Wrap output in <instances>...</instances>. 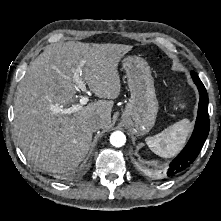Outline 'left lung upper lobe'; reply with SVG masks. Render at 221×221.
I'll return each mask as SVG.
<instances>
[{
	"mask_svg": "<svg viewBox=\"0 0 221 221\" xmlns=\"http://www.w3.org/2000/svg\"><path fill=\"white\" fill-rule=\"evenodd\" d=\"M191 76H192L193 80H200L194 71H191Z\"/></svg>",
	"mask_w": 221,
	"mask_h": 221,
	"instance_id": "obj_1",
	"label": "left lung upper lobe"
}]
</instances>
